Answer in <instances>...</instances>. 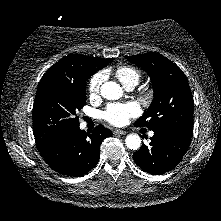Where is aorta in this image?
I'll list each match as a JSON object with an SVG mask.
<instances>
[{"instance_id": "762f6f07", "label": "aorta", "mask_w": 221, "mask_h": 221, "mask_svg": "<svg viewBox=\"0 0 221 221\" xmlns=\"http://www.w3.org/2000/svg\"><path fill=\"white\" fill-rule=\"evenodd\" d=\"M101 96L108 100H117L123 96L122 87L114 81L102 84ZM125 144L130 150H137L141 146V138L137 134H129L125 139Z\"/></svg>"}]
</instances>
